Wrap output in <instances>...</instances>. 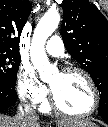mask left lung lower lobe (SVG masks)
I'll use <instances>...</instances> for the list:
<instances>
[{
	"label": "left lung lower lobe",
	"instance_id": "left-lung-lower-lobe-1",
	"mask_svg": "<svg viewBox=\"0 0 108 127\" xmlns=\"http://www.w3.org/2000/svg\"><path fill=\"white\" fill-rule=\"evenodd\" d=\"M99 115L108 122V111L106 110H98Z\"/></svg>",
	"mask_w": 108,
	"mask_h": 127
}]
</instances>
